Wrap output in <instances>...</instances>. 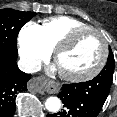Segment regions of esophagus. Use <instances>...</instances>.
<instances>
[{"label": "esophagus", "instance_id": "34e87169", "mask_svg": "<svg viewBox=\"0 0 117 117\" xmlns=\"http://www.w3.org/2000/svg\"><path fill=\"white\" fill-rule=\"evenodd\" d=\"M30 87L38 93L49 92L53 93L58 91V85L52 81H48L43 77L34 78Z\"/></svg>", "mask_w": 117, "mask_h": 117}]
</instances>
